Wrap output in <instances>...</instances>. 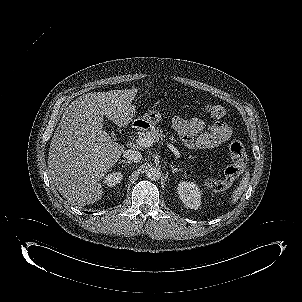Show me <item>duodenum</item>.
<instances>
[{"label":"duodenum","mask_w":302,"mask_h":302,"mask_svg":"<svg viewBox=\"0 0 302 302\" xmlns=\"http://www.w3.org/2000/svg\"><path fill=\"white\" fill-rule=\"evenodd\" d=\"M142 127H143V122H142V121H135V122L132 124V128H133L134 130H140Z\"/></svg>","instance_id":"410a0bca"}]
</instances>
